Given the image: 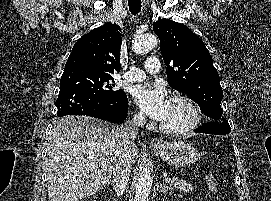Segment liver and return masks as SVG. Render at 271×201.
Returning a JSON list of instances; mask_svg holds the SVG:
<instances>
[{
	"label": "liver",
	"instance_id": "obj_1",
	"mask_svg": "<svg viewBox=\"0 0 271 201\" xmlns=\"http://www.w3.org/2000/svg\"><path fill=\"white\" fill-rule=\"evenodd\" d=\"M114 124L88 116L58 118L46 160L49 201H79L107 185L119 149ZM132 163L138 148L131 150Z\"/></svg>",
	"mask_w": 271,
	"mask_h": 201
}]
</instances>
